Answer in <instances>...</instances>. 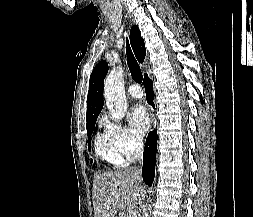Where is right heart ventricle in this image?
Wrapping results in <instances>:
<instances>
[{"instance_id":"1","label":"right heart ventricle","mask_w":253,"mask_h":217,"mask_svg":"<svg viewBox=\"0 0 253 217\" xmlns=\"http://www.w3.org/2000/svg\"><path fill=\"white\" fill-rule=\"evenodd\" d=\"M96 156L102 161L116 167H124L127 163L106 131L98 132L94 139Z\"/></svg>"}]
</instances>
